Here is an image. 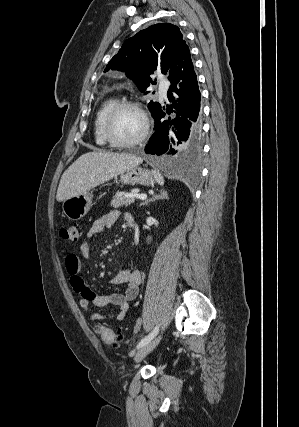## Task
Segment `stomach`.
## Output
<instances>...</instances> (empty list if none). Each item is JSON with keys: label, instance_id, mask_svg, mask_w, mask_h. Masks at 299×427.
<instances>
[{"label": "stomach", "instance_id": "obj_1", "mask_svg": "<svg viewBox=\"0 0 299 427\" xmlns=\"http://www.w3.org/2000/svg\"><path fill=\"white\" fill-rule=\"evenodd\" d=\"M122 184H139L142 186H151L156 182L152 172L141 167L131 168L119 175ZM93 192L88 190L82 194L65 200L62 204V210L65 216L70 220L77 221L83 218L92 206Z\"/></svg>", "mask_w": 299, "mask_h": 427}]
</instances>
